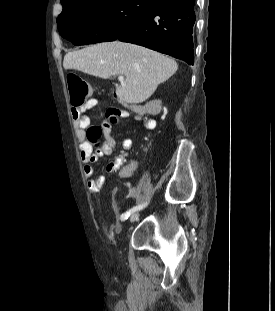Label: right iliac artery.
Instances as JSON below:
<instances>
[{
  "mask_svg": "<svg viewBox=\"0 0 275 311\" xmlns=\"http://www.w3.org/2000/svg\"><path fill=\"white\" fill-rule=\"evenodd\" d=\"M147 204H148V203L146 202V203H143V204H140V205H138V206H135V207L131 208L129 211H126L125 213H123V214L121 215V220L124 221V220L128 219V217H129L132 213H134V212H136V211H138V210H141V209L145 208V207L147 206Z\"/></svg>",
  "mask_w": 275,
  "mask_h": 311,
  "instance_id": "right-iliac-artery-1",
  "label": "right iliac artery"
}]
</instances>
